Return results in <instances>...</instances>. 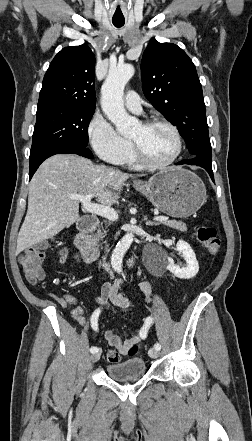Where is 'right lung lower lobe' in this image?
I'll use <instances>...</instances> for the list:
<instances>
[{
    "mask_svg": "<svg viewBox=\"0 0 252 441\" xmlns=\"http://www.w3.org/2000/svg\"><path fill=\"white\" fill-rule=\"evenodd\" d=\"M55 154H77L86 158H93V154L89 149L84 145H72V144H64L57 145L50 148H47L37 155L30 156L29 164H30V172H29V180L32 178L33 174L39 167V165L48 157L53 156Z\"/></svg>",
    "mask_w": 252,
    "mask_h": 441,
    "instance_id": "1",
    "label": "right lung lower lobe"
}]
</instances>
